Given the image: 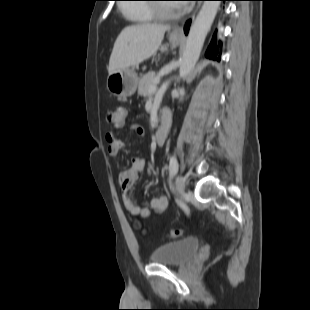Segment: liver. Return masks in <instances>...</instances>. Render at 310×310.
<instances>
[{"label": "liver", "mask_w": 310, "mask_h": 310, "mask_svg": "<svg viewBox=\"0 0 310 310\" xmlns=\"http://www.w3.org/2000/svg\"><path fill=\"white\" fill-rule=\"evenodd\" d=\"M170 26L138 24L125 27L117 37L110 56L108 73L135 67L158 51Z\"/></svg>", "instance_id": "liver-1"}]
</instances>
